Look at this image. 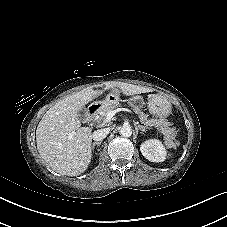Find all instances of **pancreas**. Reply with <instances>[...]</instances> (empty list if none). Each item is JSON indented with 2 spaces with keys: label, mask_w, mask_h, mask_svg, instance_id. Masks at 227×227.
<instances>
[{
  "label": "pancreas",
  "mask_w": 227,
  "mask_h": 227,
  "mask_svg": "<svg viewBox=\"0 0 227 227\" xmlns=\"http://www.w3.org/2000/svg\"><path fill=\"white\" fill-rule=\"evenodd\" d=\"M118 106H120L119 103L110 105V106H104L100 112H99V118L103 120L104 123H107L106 116L108 112L116 109ZM134 112L138 115L139 120L142 124H144L147 128L155 127L158 129L160 133L164 135V138L169 146L174 145V140L177 134V131L175 128L170 127L169 122L162 121L160 119H148L147 115L141 111L139 108H135Z\"/></svg>",
  "instance_id": "pancreas-1"
}]
</instances>
